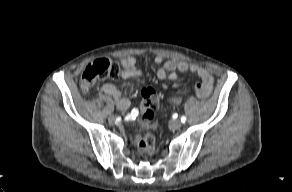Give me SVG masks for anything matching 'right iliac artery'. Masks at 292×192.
Here are the masks:
<instances>
[{"mask_svg": "<svg viewBox=\"0 0 292 192\" xmlns=\"http://www.w3.org/2000/svg\"><path fill=\"white\" fill-rule=\"evenodd\" d=\"M139 115L137 109L132 110L129 114L124 116V121L135 122L136 117Z\"/></svg>", "mask_w": 292, "mask_h": 192, "instance_id": "right-iliac-artery-1", "label": "right iliac artery"}]
</instances>
